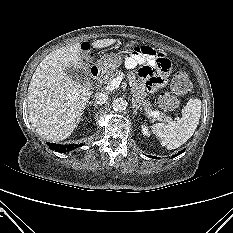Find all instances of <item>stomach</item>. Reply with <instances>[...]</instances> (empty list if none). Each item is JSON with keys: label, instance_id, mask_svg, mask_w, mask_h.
Here are the masks:
<instances>
[{"label": "stomach", "instance_id": "stomach-1", "mask_svg": "<svg viewBox=\"0 0 233 233\" xmlns=\"http://www.w3.org/2000/svg\"><path fill=\"white\" fill-rule=\"evenodd\" d=\"M135 45L134 42H130L126 45L127 49L133 48ZM122 63V55L121 54H110L102 57L97 62V67L103 73H113Z\"/></svg>", "mask_w": 233, "mask_h": 233}]
</instances>
